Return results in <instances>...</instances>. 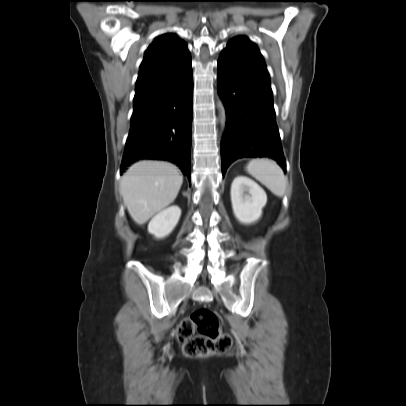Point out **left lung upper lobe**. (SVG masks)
Returning a JSON list of instances; mask_svg holds the SVG:
<instances>
[{
  "label": "left lung upper lobe",
  "mask_w": 406,
  "mask_h": 406,
  "mask_svg": "<svg viewBox=\"0 0 406 406\" xmlns=\"http://www.w3.org/2000/svg\"><path fill=\"white\" fill-rule=\"evenodd\" d=\"M223 53L239 56L247 61L259 65L267 71L266 64L259 49L245 36H238L231 39L226 48L223 50Z\"/></svg>",
  "instance_id": "1"
}]
</instances>
